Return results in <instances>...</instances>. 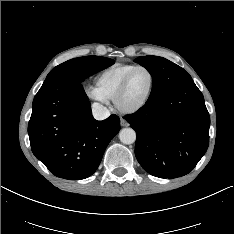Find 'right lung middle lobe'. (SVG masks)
Returning a JSON list of instances; mask_svg holds the SVG:
<instances>
[{"label": "right lung middle lobe", "instance_id": "obj_1", "mask_svg": "<svg viewBox=\"0 0 234 234\" xmlns=\"http://www.w3.org/2000/svg\"><path fill=\"white\" fill-rule=\"evenodd\" d=\"M113 63V59L106 57H78L68 60L53 68L47 75L46 79L56 75L70 73L76 81L83 82L88 76L111 66Z\"/></svg>", "mask_w": 234, "mask_h": 234}]
</instances>
